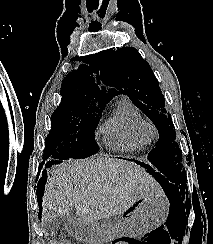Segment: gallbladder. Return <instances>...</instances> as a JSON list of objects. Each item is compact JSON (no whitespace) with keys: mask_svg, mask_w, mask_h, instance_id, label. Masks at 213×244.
I'll use <instances>...</instances> for the list:
<instances>
[{"mask_svg":"<svg viewBox=\"0 0 213 244\" xmlns=\"http://www.w3.org/2000/svg\"><path fill=\"white\" fill-rule=\"evenodd\" d=\"M59 225H60V222L57 219L53 220V221H46V220L44 221L45 231L50 234L57 232Z\"/></svg>","mask_w":213,"mask_h":244,"instance_id":"gallbladder-1","label":"gallbladder"}]
</instances>
